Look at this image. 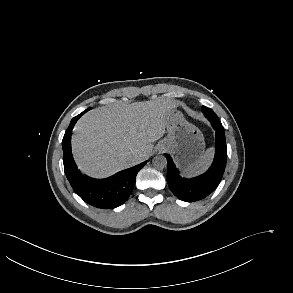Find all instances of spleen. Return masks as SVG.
I'll use <instances>...</instances> for the list:
<instances>
[{"instance_id":"obj_1","label":"spleen","mask_w":293,"mask_h":293,"mask_svg":"<svg viewBox=\"0 0 293 293\" xmlns=\"http://www.w3.org/2000/svg\"><path fill=\"white\" fill-rule=\"evenodd\" d=\"M213 158V148L207 149L198 160L184 170L188 176H194L203 173L211 164Z\"/></svg>"}]
</instances>
